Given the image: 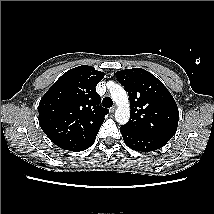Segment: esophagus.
<instances>
[{"instance_id": "esophagus-1", "label": "esophagus", "mask_w": 214, "mask_h": 214, "mask_svg": "<svg viewBox=\"0 0 214 214\" xmlns=\"http://www.w3.org/2000/svg\"><path fill=\"white\" fill-rule=\"evenodd\" d=\"M115 110H116V107H115V106H113V107L110 108V112H112V113H113Z\"/></svg>"}]
</instances>
